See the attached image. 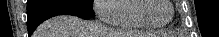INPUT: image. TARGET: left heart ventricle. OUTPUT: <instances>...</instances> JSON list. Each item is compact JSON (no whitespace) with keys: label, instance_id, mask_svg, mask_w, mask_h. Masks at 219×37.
<instances>
[{"label":"left heart ventricle","instance_id":"left-heart-ventricle-1","mask_svg":"<svg viewBox=\"0 0 219 37\" xmlns=\"http://www.w3.org/2000/svg\"><path fill=\"white\" fill-rule=\"evenodd\" d=\"M145 5L144 16L152 22L162 23L170 17L171 10L166 0H148Z\"/></svg>","mask_w":219,"mask_h":37}]
</instances>
